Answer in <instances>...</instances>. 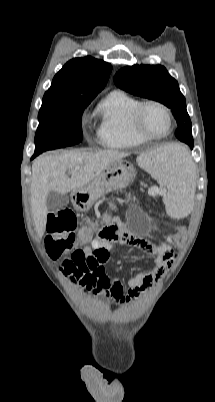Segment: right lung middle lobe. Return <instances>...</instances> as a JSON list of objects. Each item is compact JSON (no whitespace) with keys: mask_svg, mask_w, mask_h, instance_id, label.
Instances as JSON below:
<instances>
[{"mask_svg":"<svg viewBox=\"0 0 215 402\" xmlns=\"http://www.w3.org/2000/svg\"><path fill=\"white\" fill-rule=\"evenodd\" d=\"M93 98H44L39 111L33 158L46 150L72 146L83 138L81 119Z\"/></svg>","mask_w":215,"mask_h":402,"instance_id":"right-lung-middle-lobe-1","label":"right lung middle lobe"}]
</instances>
